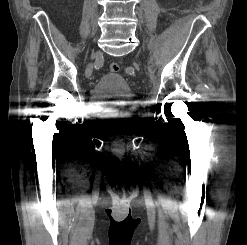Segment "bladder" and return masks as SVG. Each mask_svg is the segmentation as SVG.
<instances>
[{
	"instance_id": "1",
	"label": "bladder",
	"mask_w": 247,
	"mask_h": 245,
	"mask_svg": "<svg viewBox=\"0 0 247 245\" xmlns=\"http://www.w3.org/2000/svg\"><path fill=\"white\" fill-rule=\"evenodd\" d=\"M92 98L96 103L121 100L131 96V89L125 78L118 73H105L92 89Z\"/></svg>"
}]
</instances>
